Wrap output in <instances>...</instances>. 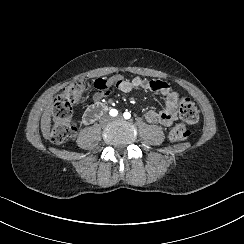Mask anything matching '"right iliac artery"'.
Instances as JSON below:
<instances>
[{
	"label": "right iliac artery",
	"mask_w": 244,
	"mask_h": 244,
	"mask_svg": "<svg viewBox=\"0 0 244 244\" xmlns=\"http://www.w3.org/2000/svg\"><path fill=\"white\" fill-rule=\"evenodd\" d=\"M109 114L112 116V117H115L118 115V111L116 109H111Z\"/></svg>",
	"instance_id": "82829eb1"
}]
</instances>
